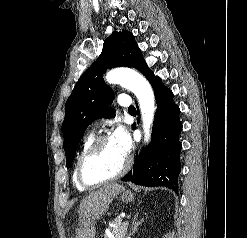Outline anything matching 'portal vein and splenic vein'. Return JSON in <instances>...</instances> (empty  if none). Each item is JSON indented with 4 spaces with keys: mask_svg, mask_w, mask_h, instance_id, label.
<instances>
[{
    "mask_svg": "<svg viewBox=\"0 0 247 238\" xmlns=\"http://www.w3.org/2000/svg\"><path fill=\"white\" fill-rule=\"evenodd\" d=\"M124 223H125V225H129V222L128 221H125Z\"/></svg>",
    "mask_w": 247,
    "mask_h": 238,
    "instance_id": "obj_1",
    "label": "portal vein and splenic vein"
}]
</instances>
